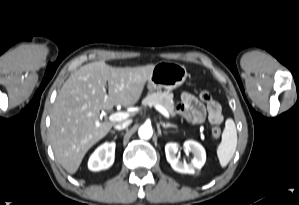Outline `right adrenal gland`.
Here are the masks:
<instances>
[{"label":"right adrenal gland","mask_w":299,"mask_h":205,"mask_svg":"<svg viewBox=\"0 0 299 205\" xmlns=\"http://www.w3.org/2000/svg\"><path fill=\"white\" fill-rule=\"evenodd\" d=\"M112 134H115V131H111Z\"/></svg>","instance_id":"obj_1"}]
</instances>
